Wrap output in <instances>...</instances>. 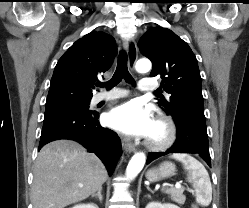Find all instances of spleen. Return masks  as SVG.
Segmentation results:
<instances>
[{
	"instance_id": "spleen-1",
	"label": "spleen",
	"mask_w": 249,
	"mask_h": 208,
	"mask_svg": "<svg viewBox=\"0 0 249 208\" xmlns=\"http://www.w3.org/2000/svg\"><path fill=\"white\" fill-rule=\"evenodd\" d=\"M170 157L180 161L188 171V181L195 190L196 202L208 206L212 201V186L209 174L202 163L186 153H175Z\"/></svg>"
}]
</instances>
